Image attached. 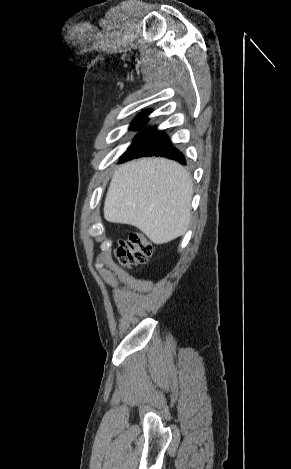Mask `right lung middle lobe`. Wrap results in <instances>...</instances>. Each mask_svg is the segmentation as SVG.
<instances>
[{
    "label": "right lung middle lobe",
    "mask_w": 291,
    "mask_h": 469,
    "mask_svg": "<svg viewBox=\"0 0 291 469\" xmlns=\"http://www.w3.org/2000/svg\"><path fill=\"white\" fill-rule=\"evenodd\" d=\"M148 117L145 115H139L131 124L130 129L137 130L143 127L148 122Z\"/></svg>",
    "instance_id": "dd1d6c3e"
}]
</instances>
